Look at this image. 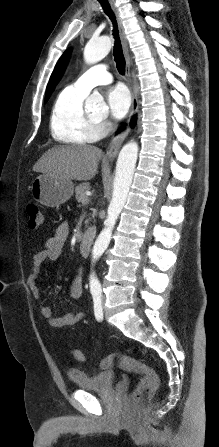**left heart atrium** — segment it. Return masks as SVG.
Instances as JSON below:
<instances>
[{
    "label": "left heart atrium",
    "mask_w": 219,
    "mask_h": 447,
    "mask_svg": "<svg viewBox=\"0 0 219 447\" xmlns=\"http://www.w3.org/2000/svg\"><path fill=\"white\" fill-rule=\"evenodd\" d=\"M107 104L110 115L115 119L126 116L131 107V97L123 86L112 88L107 94Z\"/></svg>",
    "instance_id": "obj_1"
}]
</instances>
